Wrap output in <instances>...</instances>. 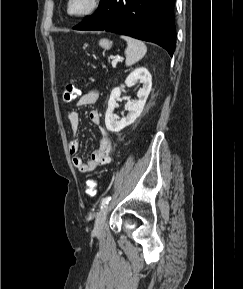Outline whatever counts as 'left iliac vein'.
Wrapping results in <instances>:
<instances>
[{"instance_id":"4c4485c4","label":"left iliac vein","mask_w":243,"mask_h":289,"mask_svg":"<svg viewBox=\"0 0 243 289\" xmlns=\"http://www.w3.org/2000/svg\"><path fill=\"white\" fill-rule=\"evenodd\" d=\"M108 212V206H104L101 208L99 211L96 220H95V225H94V233L95 234H101L104 228V223L106 220V215Z\"/></svg>"}]
</instances>
